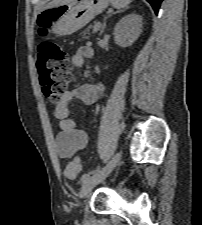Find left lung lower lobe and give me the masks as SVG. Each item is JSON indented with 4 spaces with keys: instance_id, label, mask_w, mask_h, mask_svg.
Instances as JSON below:
<instances>
[{
    "instance_id": "obj_1",
    "label": "left lung lower lobe",
    "mask_w": 202,
    "mask_h": 225,
    "mask_svg": "<svg viewBox=\"0 0 202 225\" xmlns=\"http://www.w3.org/2000/svg\"><path fill=\"white\" fill-rule=\"evenodd\" d=\"M147 1L151 4L152 8L157 14L162 0H147Z\"/></svg>"
}]
</instances>
